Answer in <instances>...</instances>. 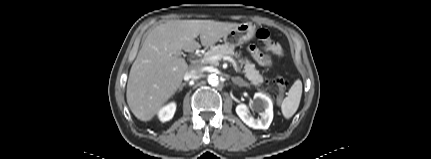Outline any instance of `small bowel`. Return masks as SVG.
Listing matches in <instances>:
<instances>
[{
    "label": "small bowel",
    "mask_w": 431,
    "mask_h": 159,
    "mask_svg": "<svg viewBox=\"0 0 431 159\" xmlns=\"http://www.w3.org/2000/svg\"><path fill=\"white\" fill-rule=\"evenodd\" d=\"M265 49L272 52L274 55L276 56H280L282 54V49L281 47L277 44L274 43L273 46L268 47L265 46ZM250 53L252 54L253 58L262 66H269L271 64V60L270 57L265 55L260 49H258L255 46H251L250 47Z\"/></svg>",
    "instance_id": "obj_1"
}]
</instances>
